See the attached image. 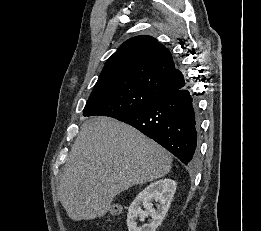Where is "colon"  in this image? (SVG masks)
<instances>
[{
  "label": "colon",
  "mask_w": 261,
  "mask_h": 231,
  "mask_svg": "<svg viewBox=\"0 0 261 231\" xmlns=\"http://www.w3.org/2000/svg\"><path fill=\"white\" fill-rule=\"evenodd\" d=\"M120 213V210L119 208L116 206V205H113L111 207H109L107 210H106V214L108 215H112V216H116Z\"/></svg>",
  "instance_id": "1"
}]
</instances>
